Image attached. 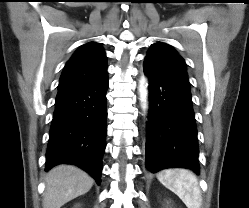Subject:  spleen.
Listing matches in <instances>:
<instances>
[{"instance_id": "1", "label": "spleen", "mask_w": 249, "mask_h": 208, "mask_svg": "<svg viewBox=\"0 0 249 208\" xmlns=\"http://www.w3.org/2000/svg\"><path fill=\"white\" fill-rule=\"evenodd\" d=\"M158 180L174 192L188 208H200L201 191L196 176L185 169H168L157 175Z\"/></svg>"}]
</instances>
